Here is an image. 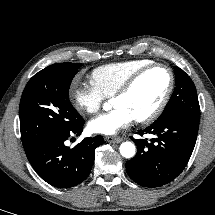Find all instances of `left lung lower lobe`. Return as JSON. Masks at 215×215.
<instances>
[{"mask_svg": "<svg viewBox=\"0 0 215 215\" xmlns=\"http://www.w3.org/2000/svg\"><path fill=\"white\" fill-rule=\"evenodd\" d=\"M199 121L171 117L155 121L137 134L155 137L133 139L136 156L126 163L129 177L144 187H159L175 179L187 165L193 152Z\"/></svg>", "mask_w": 215, "mask_h": 215, "instance_id": "obj_1", "label": "left lung lower lobe"}]
</instances>
